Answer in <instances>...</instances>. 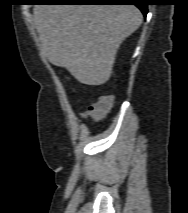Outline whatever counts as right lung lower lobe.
<instances>
[{"label": "right lung lower lobe", "instance_id": "right-lung-lower-lobe-1", "mask_svg": "<svg viewBox=\"0 0 188 213\" xmlns=\"http://www.w3.org/2000/svg\"><path fill=\"white\" fill-rule=\"evenodd\" d=\"M44 2L72 4H134L145 16L147 14L146 0H45Z\"/></svg>", "mask_w": 188, "mask_h": 213}]
</instances>
